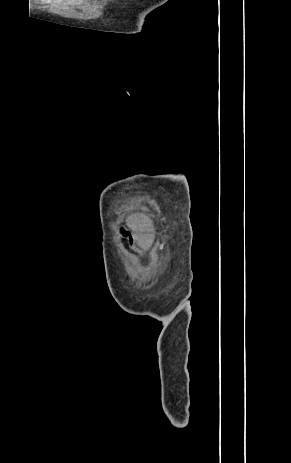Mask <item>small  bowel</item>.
<instances>
[{"mask_svg":"<svg viewBox=\"0 0 291 463\" xmlns=\"http://www.w3.org/2000/svg\"><path fill=\"white\" fill-rule=\"evenodd\" d=\"M130 245L134 250L138 251L140 254H143L142 250L139 249L135 239H131Z\"/></svg>","mask_w":291,"mask_h":463,"instance_id":"small-bowel-1","label":"small bowel"}]
</instances>
